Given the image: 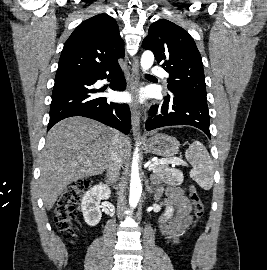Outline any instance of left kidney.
I'll use <instances>...</instances> for the list:
<instances>
[{
    "mask_svg": "<svg viewBox=\"0 0 267 270\" xmlns=\"http://www.w3.org/2000/svg\"><path fill=\"white\" fill-rule=\"evenodd\" d=\"M173 211H174V208L171 205L167 206L164 213V217L166 219H170L173 214Z\"/></svg>",
    "mask_w": 267,
    "mask_h": 270,
    "instance_id": "5707ae66",
    "label": "left kidney"
}]
</instances>
